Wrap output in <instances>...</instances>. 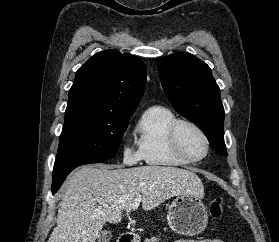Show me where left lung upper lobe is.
Here are the masks:
<instances>
[{"mask_svg":"<svg viewBox=\"0 0 279 242\" xmlns=\"http://www.w3.org/2000/svg\"><path fill=\"white\" fill-rule=\"evenodd\" d=\"M158 73L174 109L202 129L211 147L227 155L220 89L208 65L190 53L179 52L160 58Z\"/></svg>","mask_w":279,"mask_h":242,"instance_id":"obj_1","label":"left lung upper lobe"}]
</instances>
